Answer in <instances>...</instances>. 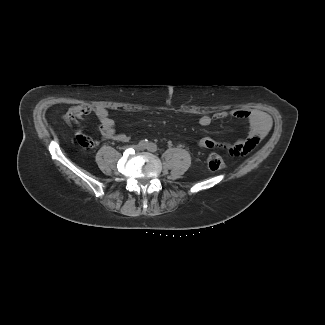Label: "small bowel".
Masks as SVG:
<instances>
[{"mask_svg":"<svg viewBox=\"0 0 325 325\" xmlns=\"http://www.w3.org/2000/svg\"><path fill=\"white\" fill-rule=\"evenodd\" d=\"M93 112L99 120V131L102 139L127 142L129 135L116 131L115 122L110 117L109 111L103 106L91 107L90 105H75L66 113V120L69 124L77 125L78 121ZM232 117L245 119L249 123V131L246 138L235 143H221L211 136L203 137L199 144L205 149L220 148L230 156H243L251 152L259 141L266 135L272 125L268 114L259 110H236L231 113ZM228 117L227 113L220 112L214 115L203 114L199 117L201 126H208L215 120H222ZM78 143L85 148H94L99 144L86 136L81 129L76 130Z\"/></svg>","mask_w":325,"mask_h":325,"instance_id":"c3829d8e","label":"small bowel"}]
</instances>
